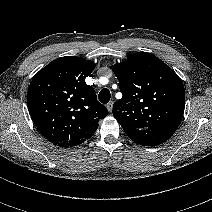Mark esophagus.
Masks as SVG:
<instances>
[{
  "label": "esophagus",
  "mask_w": 212,
  "mask_h": 212,
  "mask_svg": "<svg viewBox=\"0 0 212 212\" xmlns=\"http://www.w3.org/2000/svg\"><path fill=\"white\" fill-rule=\"evenodd\" d=\"M108 111L111 113L112 112V109H113V102H109L107 105H106Z\"/></svg>",
  "instance_id": "esophagus-1"
}]
</instances>
